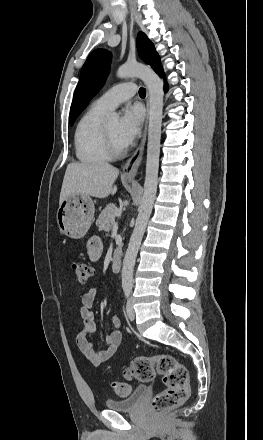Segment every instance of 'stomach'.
I'll list each match as a JSON object with an SVG mask.
<instances>
[{
	"label": "stomach",
	"instance_id": "stomach-1",
	"mask_svg": "<svg viewBox=\"0 0 263 440\" xmlns=\"http://www.w3.org/2000/svg\"><path fill=\"white\" fill-rule=\"evenodd\" d=\"M94 204L86 195L76 194L63 199L56 215L60 231L73 239L84 237L94 219Z\"/></svg>",
	"mask_w": 263,
	"mask_h": 440
}]
</instances>
